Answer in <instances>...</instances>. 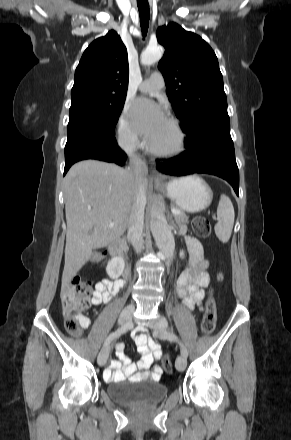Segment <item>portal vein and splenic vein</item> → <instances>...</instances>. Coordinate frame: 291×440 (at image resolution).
<instances>
[{"mask_svg": "<svg viewBox=\"0 0 291 440\" xmlns=\"http://www.w3.org/2000/svg\"><path fill=\"white\" fill-rule=\"evenodd\" d=\"M171 212H172L173 215H181L182 214V212L180 210L175 209V208H172ZM113 226H114V223H110L109 224V227H113Z\"/></svg>", "mask_w": 291, "mask_h": 440, "instance_id": "obj_1", "label": "portal vein and splenic vein"}]
</instances>
